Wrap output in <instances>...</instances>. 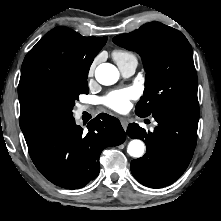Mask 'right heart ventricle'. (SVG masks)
<instances>
[{
    "label": "right heart ventricle",
    "instance_id": "1",
    "mask_svg": "<svg viewBox=\"0 0 221 221\" xmlns=\"http://www.w3.org/2000/svg\"><path fill=\"white\" fill-rule=\"evenodd\" d=\"M112 55L116 63L124 62L129 59H136L133 53L126 50H115Z\"/></svg>",
    "mask_w": 221,
    "mask_h": 221
}]
</instances>
